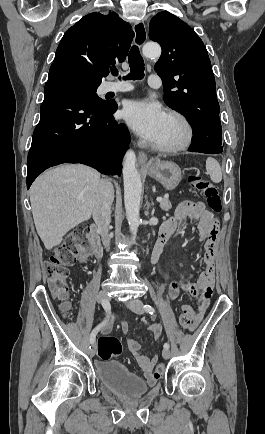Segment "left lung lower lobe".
<instances>
[{
	"mask_svg": "<svg viewBox=\"0 0 265 434\" xmlns=\"http://www.w3.org/2000/svg\"><path fill=\"white\" fill-rule=\"evenodd\" d=\"M188 150L207 154H219L223 151L222 139L193 134L192 144Z\"/></svg>",
	"mask_w": 265,
	"mask_h": 434,
	"instance_id": "obj_1",
	"label": "left lung lower lobe"
}]
</instances>
